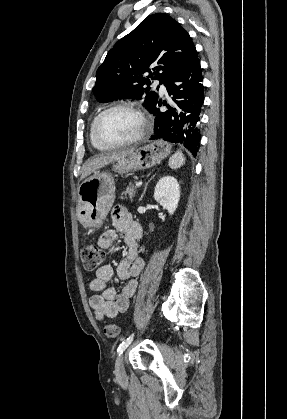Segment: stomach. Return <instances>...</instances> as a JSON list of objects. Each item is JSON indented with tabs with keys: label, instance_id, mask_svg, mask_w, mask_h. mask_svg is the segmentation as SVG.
Returning a JSON list of instances; mask_svg holds the SVG:
<instances>
[{
	"label": "stomach",
	"instance_id": "obj_1",
	"mask_svg": "<svg viewBox=\"0 0 287 419\" xmlns=\"http://www.w3.org/2000/svg\"><path fill=\"white\" fill-rule=\"evenodd\" d=\"M171 150L169 143L163 140L150 142L135 149L128 156L115 161V172L149 169L166 158ZM115 198V182L108 172H95L82 182L78 188V218L88 227L101 225L108 215Z\"/></svg>",
	"mask_w": 287,
	"mask_h": 419
}]
</instances>
